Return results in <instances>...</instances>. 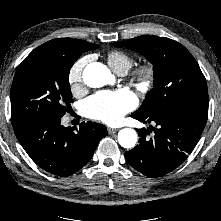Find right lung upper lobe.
Listing matches in <instances>:
<instances>
[{"label":"right lung upper lobe","mask_w":221,"mask_h":221,"mask_svg":"<svg viewBox=\"0 0 221 221\" xmlns=\"http://www.w3.org/2000/svg\"><path fill=\"white\" fill-rule=\"evenodd\" d=\"M44 44H66L72 46L75 49L87 50V51L93 50L92 48L96 46V44L88 43L84 40L70 39V38H57L50 40Z\"/></svg>","instance_id":"cb5924a9"}]
</instances>
